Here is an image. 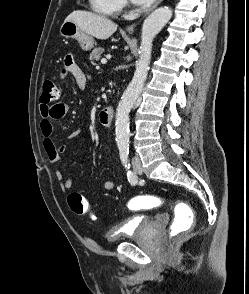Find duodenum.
Returning a JSON list of instances; mask_svg holds the SVG:
<instances>
[{
  "label": "duodenum",
  "mask_w": 249,
  "mask_h": 294,
  "mask_svg": "<svg viewBox=\"0 0 249 294\" xmlns=\"http://www.w3.org/2000/svg\"><path fill=\"white\" fill-rule=\"evenodd\" d=\"M113 120V109L110 106L103 108L99 113V122L104 127H110Z\"/></svg>",
  "instance_id": "duodenum-1"
}]
</instances>
